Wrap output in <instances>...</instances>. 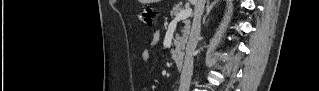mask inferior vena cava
Here are the masks:
<instances>
[{"label":"inferior vena cava","mask_w":319,"mask_h":91,"mask_svg":"<svg viewBox=\"0 0 319 91\" xmlns=\"http://www.w3.org/2000/svg\"><path fill=\"white\" fill-rule=\"evenodd\" d=\"M206 0H196L194 19L192 23V29L189 37V41L186 46V55L184 60L183 69L180 76L179 91H189L191 77L193 74V61L195 55V49L200 37L201 16L204 12Z\"/></svg>","instance_id":"1"}]
</instances>
